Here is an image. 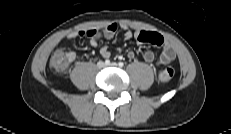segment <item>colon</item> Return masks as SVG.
<instances>
[{
	"label": "colon",
	"instance_id": "obj_1",
	"mask_svg": "<svg viewBox=\"0 0 231 134\" xmlns=\"http://www.w3.org/2000/svg\"><path fill=\"white\" fill-rule=\"evenodd\" d=\"M70 62L69 53L60 49L55 51L52 55L50 59V66L57 72H64L68 68ZM173 76V68L167 67L158 74V80L161 83H167L173 78Z\"/></svg>",
	"mask_w": 231,
	"mask_h": 134
}]
</instances>
